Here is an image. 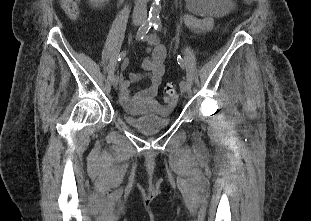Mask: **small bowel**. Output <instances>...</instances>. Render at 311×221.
I'll return each instance as SVG.
<instances>
[{
  "instance_id": "1",
  "label": "small bowel",
  "mask_w": 311,
  "mask_h": 221,
  "mask_svg": "<svg viewBox=\"0 0 311 221\" xmlns=\"http://www.w3.org/2000/svg\"><path fill=\"white\" fill-rule=\"evenodd\" d=\"M182 20L195 33L211 30L215 22L213 17H197L192 14H185ZM145 44L149 56L142 63L143 72L132 73L128 79H124L120 84V96L124 101L131 99L130 86L144 79L148 80V85L139 90L137 98L152 99L158 93L161 79L165 73V60L168 50L155 35H148L145 38Z\"/></svg>"
}]
</instances>
